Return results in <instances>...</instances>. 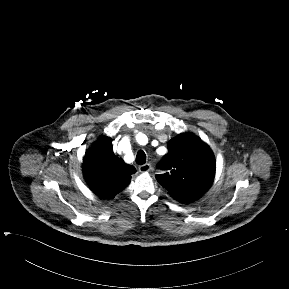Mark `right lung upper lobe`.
Here are the masks:
<instances>
[{
  "instance_id": "1",
  "label": "right lung upper lobe",
  "mask_w": 289,
  "mask_h": 289,
  "mask_svg": "<svg viewBox=\"0 0 289 289\" xmlns=\"http://www.w3.org/2000/svg\"><path fill=\"white\" fill-rule=\"evenodd\" d=\"M136 169L124 163L113 153L112 140L102 136L87 151L83 174L92 190L102 198L110 199L125 189Z\"/></svg>"
}]
</instances>
